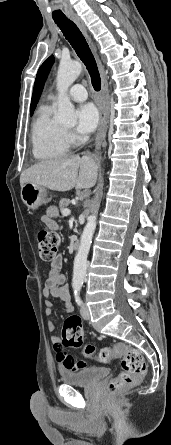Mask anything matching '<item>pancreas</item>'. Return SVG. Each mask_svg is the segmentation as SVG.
I'll use <instances>...</instances> for the list:
<instances>
[{
  "mask_svg": "<svg viewBox=\"0 0 171 445\" xmlns=\"http://www.w3.org/2000/svg\"><path fill=\"white\" fill-rule=\"evenodd\" d=\"M69 203H70L69 199L66 198L61 199L59 202L60 211L62 212L63 210H65L66 207L69 205Z\"/></svg>",
  "mask_w": 171,
  "mask_h": 445,
  "instance_id": "obj_1",
  "label": "pancreas"
}]
</instances>
